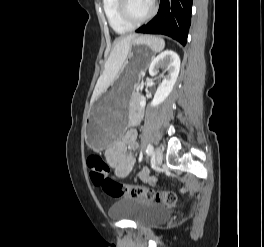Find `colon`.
<instances>
[{"mask_svg": "<svg viewBox=\"0 0 264 247\" xmlns=\"http://www.w3.org/2000/svg\"><path fill=\"white\" fill-rule=\"evenodd\" d=\"M90 170V178L94 185L113 198H142L150 201L163 202L166 205H174L177 202V194L173 191H157L141 186L120 184L109 177L107 163L98 155H90L87 158Z\"/></svg>", "mask_w": 264, "mask_h": 247, "instance_id": "1", "label": "colon"}]
</instances>
